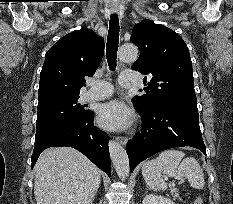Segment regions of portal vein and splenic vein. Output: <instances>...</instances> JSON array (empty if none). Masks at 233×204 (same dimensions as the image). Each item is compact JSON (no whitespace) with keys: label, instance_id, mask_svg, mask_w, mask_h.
<instances>
[{"label":"portal vein and splenic vein","instance_id":"18ae733b","mask_svg":"<svg viewBox=\"0 0 233 204\" xmlns=\"http://www.w3.org/2000/svg\"><path fill=\"white\" fill-rule=\"evenodd\" d=\"M164 179H165V180H168V177H165Z\"/></svg>","mask_w":233,"mask_h":204}]
</instances>
